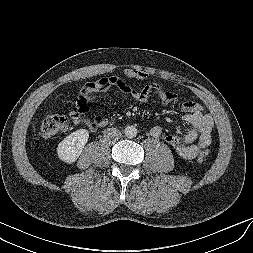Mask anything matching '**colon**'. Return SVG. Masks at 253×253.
Masks as SVG:
<instances>
[{
  "label": "colon",
  "mask_w": 253,
  "mask_h": 253,
  "mask_svg": "<svg viewBox=\"0 0 253 253\" xmlns=\"http://www.w3.org/2000/svg\"><path fill=\"white\" fill-rule=\"evenodd\" d=\"M67 119L61 114H46L41 118L40 132L42 137L50 138L66 131ZM210 155L209 150H203L198 155V161L204 162Z\"/></svg>",
  "instance_id": "1"
}]
</instances>
